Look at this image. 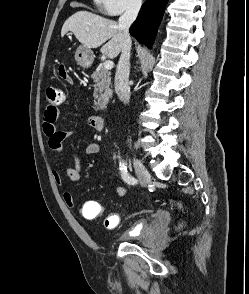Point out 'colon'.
<instances>
[{"label":"colon","mask_w":249,"mask_h":294,"mask_svg":"<svg viewBox=\"0 0 249 294\" xmlns=\"http://www.w3.org/2000/svg\"><path fill=\"white\" fill-rule=\"evenodd\" d=\"M59 74L61 76H64L67 74V70L64 65H60ZM46 96H47L46 101L49 106H58L64 100V93H63L62 89H60L58 87H54V86H50L47 88ZM97 212L102 214V206L101 205L98 206Z\"/></svg>","instance_id":"colon-1"}]
</instances>
